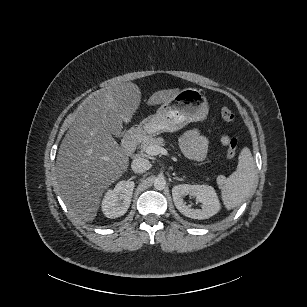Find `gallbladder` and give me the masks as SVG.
I'll return each mask as SVG.
<instances>
[{"label":"gallbladder","mask_w":307,"mask_h":307,"mask_svg":"<svg viewBox=\"0 0 307 307\" xmlns=\"http://www.w3.org/2000/svg\"><path fill=\"white\" fill-rule=\"evenodd\" d=\"M106 125L109 129L110 134H112L113 139L118 140L121 137L123 122L119 116L113 114L111 111L106 113Z\"/></svg>","instance_id":"obj_1"}]
</instances>
